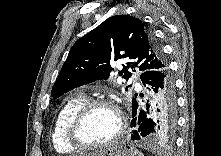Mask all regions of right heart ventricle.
I'll return each mask as SVG.
<instances>
[{
    "instance_id": "1",
    "label": "right heart ventricle",
    "mask_w": 221,
    "mask_h": 156,
    "mask_svg": "<svg viewBox=\"0 0 221 156\" xmlns=\"http://www.w3.org/2000/svg\"><path fill=\"white\" fill-rule=\"evenodd\" d=\"M86 101L83 95L69 98L57 113L51 134L52 145L56 152L70 154L76 150L66 139V127L74 112Z\"/></svg>"
}]
</instances>
